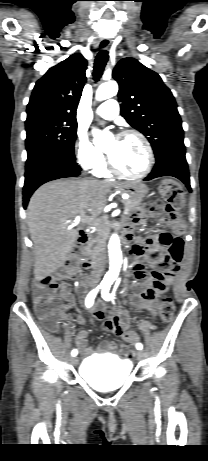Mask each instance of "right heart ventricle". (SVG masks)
Returning <instances> with one entry per match:
<instances>
[{
    "mask_svg": "<svg viewBox=\"0 0 208 461\" xmlns=\"http://www.w3.org/2000/svg\"><path fill=\"white\" fill-rule=\"evenodd\" d=\"M95 175L98 177L109 178L111 176L110 172L107 169L106 162L103 161L94 169Z\"/></svg>",
    "mask_w": 208,
    "mask_h": 461,
    "instance_id": "obj_1",
    "label": "right heart ventricle"
}]
</instances>
